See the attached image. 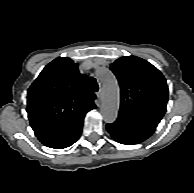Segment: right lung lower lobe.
Masks as SVG:
<instances>
[{
  "label": "right lung lower lobe",
  "mask_w": 194,
  "mask_h": 193,
  "mask_svg": "<svg viewBox=\"0 0 194 193\" xmlns=\"http://www.w3.org/2000/svg\"><path fill=\"white\" fill-rule=\"evenodd\" d=\"M83 119L71 124L66 129H63L59 132L39 137L38 139L45 146L55 149H62L69 147L75 143L82 132Z\"/></svg>",
  "instance_id": "98d812e1"
}]
</instances>
